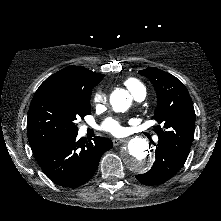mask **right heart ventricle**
Instances as JSON below:
<instances>
[{
  "mask_svg": "<svg viewBox=\"0 0 221 221\" xmlns=\"http://www.w3.org/2000/svg\"><path fill=\"white\" fill-rule=\"evenodd\" d=\"M125 86L127 89L134 94L139 89L144 88L143 85L136 79H128L125 81Z\"/></svg>",
  "mask_w": 221,
  "mask_h": 221,
  "instance_id": "1",
  "label": "right heart ventricle"
}]
</instances>
